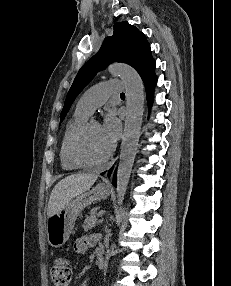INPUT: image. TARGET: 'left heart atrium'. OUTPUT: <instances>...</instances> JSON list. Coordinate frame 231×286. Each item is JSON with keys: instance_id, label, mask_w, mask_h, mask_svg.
<instances>
[{"instance_id": "39dd6f15", "label": "left heart atrium", "mask_w": 231, "mask_h": 286, "mask_svg": "<svg viewBox=\"0 0 231 286\" xmlns=\"http://www.w3.org/2000/svg\"><path fill=\"white\" fill-rule=\"evenodd\" d=\"M102 131L106 138L113 144L120 136V122L114 115H108L102 126Z\"/></svg>"}]
</instances>
